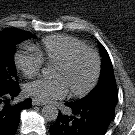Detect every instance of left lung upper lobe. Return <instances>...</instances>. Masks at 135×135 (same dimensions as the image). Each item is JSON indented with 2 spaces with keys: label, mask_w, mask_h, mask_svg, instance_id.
Listing matches in <instances>:
<instances>
[{
  "label": "left lung upper lobe",
  "mask_w": 135,
  "mask_h": 135,
  "mask_svg": "<svg viewBox=\"0 0 135 135\" xmlns=\"http://www.w3.org/2000/svg\"><path fill=\"white\" fill-rule=\"evenodd\" d=\"M99 48L103 56L101 63V75L97 86L84 98L75 103H91L102 100L117 102V87L114 78L113 66L110 57L101 43Z\"/></svg>",
  "instance_id": "1"
}]
</instances>
